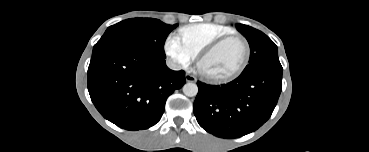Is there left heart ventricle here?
I'll use <instances>...</instances> for the list:
<instances>
[{
  "instance_id": "1",
  "label": "left heart ventricle",
  "mask_w": 369,
  "mask_h": 152,
  "mask_svg": "<svg viewBox=\"0 0 369 152\" xmlns=\"http://www.w3.org/2000/svg\"><path fill=\"white\" fill-rule=\"evenodd\" d=\"M244 55L243 43L238 39L230 40L203 61L202 70L214 76L228 75L241 65Z\"/></svg>"
}]
</instances>
